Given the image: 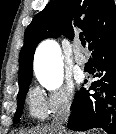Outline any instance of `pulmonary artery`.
Wrapping results in <instances>:
<instances>
[{
	"label": "pulmonary artery",
	"instance_id": "1",
	"mask_svg": "<svg viewBox=\"0 0 116 134\" xmlns=\"http://www.w3.org/2000/svg\"><path fill=\"white\" fill-rule=\"evenodd\" d=\"M74 51L75 62L80 66H84L87 63V57L81 52V45L79 43L75 44Z\"/></svg>",
	"mask_w": 116,
	"mask_h": 134
}]
</instances>
